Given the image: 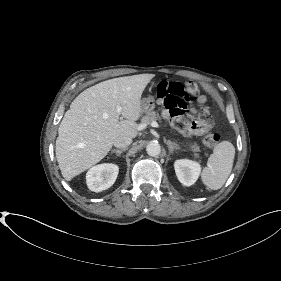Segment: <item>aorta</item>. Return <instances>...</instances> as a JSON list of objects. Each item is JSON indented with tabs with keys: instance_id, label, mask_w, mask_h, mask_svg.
I'll list each match as a JSON object with an SVG mask.
<instances>
[{
	"instance_id": "obj_1",
	"label": "aorta",
	"mask_w": 281,
	"mask_h": 281,
	"mask_svg": "<svg viewBox=\"0 0 281 281\" xmlns=\"http://www.w3.org/2000/svg\"><path fill=\"white\" fill-rule=\"evenodd\" d=\"M147 154L150 156H158L161 153V146L157 142H150L146 146Z\"/></svg>"
}]
</instances>
